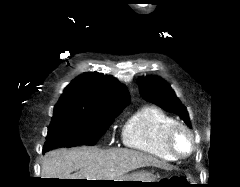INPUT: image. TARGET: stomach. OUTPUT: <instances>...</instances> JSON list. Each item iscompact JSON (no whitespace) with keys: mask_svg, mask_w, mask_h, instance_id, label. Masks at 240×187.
<instances>
[{"mask_svg":"<svg viewBox=\"0 0 240 187\" xmlns=\"http://www.w3.org/2000/svg\"><path fill=\"white\" fill-rule=\"evenodd\" d=\"M156 180H157L156 176H154L152 173L141 171V172L133 173L131 175L123 176L122 178L117 179V180H113V181H124V182H111V186H116V187H154V186H157L156 183H144V182H159Z\"/></svg>","mask_w":240,"mask_h":187,"instance_id":"1","label":"stomach"}]
</instances>
